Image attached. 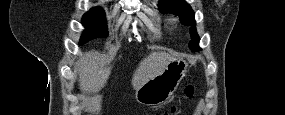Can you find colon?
Returning a JSON list of instances; mask_svg holds the SVG:
<instances>
[{"instance_id":"1","label":"colon","mask_w":285,"mask_h":115,"mask_svg":"<svg viewBox=\"0 0 285 115\" xmlns=\"http://www.w3.org/2000/svg\"><path fill=\"white\" fill-rule=\"evenodd\" d=\"M184 94H185V96L188 97V98H189V97H192L193 94H194V86L191 85V84L187 85V86L185 87V89H184ZM175 111H176V107L173 106V107H171L167 112H165L164 114H165V115H167V114H173V113H175Z\"/></svg>"}]
</instances>
